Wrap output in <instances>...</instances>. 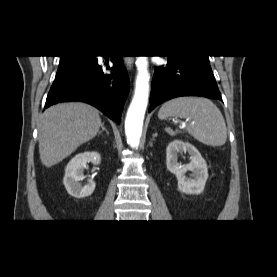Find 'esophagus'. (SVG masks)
<instances>
[{
	"instance_id": "obj_1",
	"label": "esophagus",
	"mask_w": 277,
	"mask_h": 277,
	"mask_svg": "<svg viewBox=\"0 0 277 277\" xmlns=\"http://www.w3.org/2000/svg\"><path fill=\"white\" fill-rule=\"evenodd\" d=\"M133 61H134L133 57H125V58H124V63H125V65H126V67H127L128 69H131V68H132V66H133Z\"/></svg>"
}]
</instances>
